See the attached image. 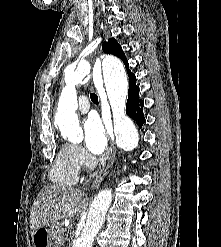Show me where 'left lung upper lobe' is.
I'll list each match as a JSON object with an SVG mask.
<instances>
[{"instance_id": "left-lung-upper-lobe-1", "label": "left lung upper lobe", "mask_w": 221, "mask_h": 247, "mask_svg": "<svg viewBox=\"0 0 221 247\" xmlns=\"http://www.w3.org/2000/svg\"><path fill=\"white\" fill-rule=\"evenodd\" d=\"M102 49L105 53L113 54L117 57H119L123 63L125 64V67L127 69L128 76L134 75L130 70H129V64L128 61L125 57L124 52L122 51L121 46L116 42L114 38H110L107 42H104L102 45Z\"/></svg>"}]
</instances>
